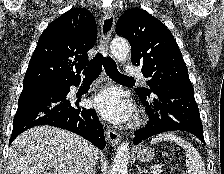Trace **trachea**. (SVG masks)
Returning <instances> with one entry per match:
<instances>
[{
  "mask_svg": "<svg viewBox=\"0 0 224 174\" xmlns=\"http://www.w3.org/2000/svg\"><path fill=\"white\" fill-rule=\"evenodd\" d=\"M104 66L106 74L114 81H134V78L121 74L115 61L110 57H104L101 53H97L92 63L83 71L84 80H94L102 72Z\"/></svg>",
  "mask_w": 224,
  "mask_h": 174,
  "instance_id": "trachea-1",
  "label": "trachea"
}]
</instances>
